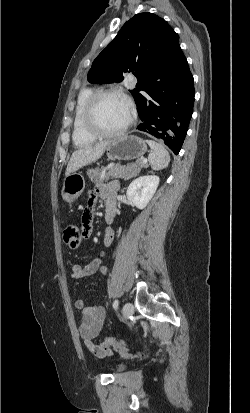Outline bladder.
I'll list each match as a JSON object with an SVG mask.
<instances>
[{
    "mask_svg": "<svg viewBox=\"0 0 250 413\" xmlns=\"http://www.w3.org/2000/svg\"><path fill=\"white\" fill-rule=\"evenodd\" d=\"M126 368V364L125 363H118L116 366H115V370L116 371H122V370H124Z\"/></svg>",
    "mask_w": 250,
    "mask_h": 413,
    "instance_id": "31cf9c89",
    "label": "bladder"
}]
</instances>
